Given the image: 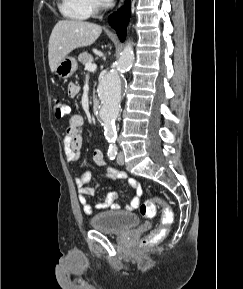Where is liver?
Returning <instances> with one entry per match:
<instances>
[{
  "label": "liver",
  "instance_id": "6515ba94",
  "mask_svg": "<svg viewBox=\"0 0 243 289\" xmlns=\"http://www.w3.org/2000/svg\"><path fill=\"white\" fill-rule=\"evenodd\" d=\"M100 25L78 20H60L49 38L48 59L51 72L74 49L93 44L100 36Z\"/></svg>",
  "mask_w": 243,
  "mask_h": 289
}]
</instances>
